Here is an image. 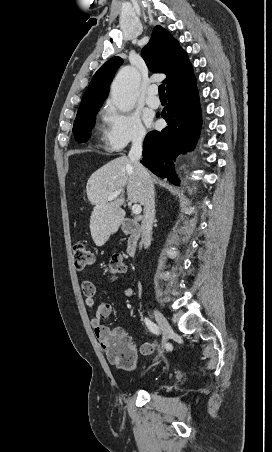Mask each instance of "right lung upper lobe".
I'll return each instance as SVG.
<instances>
[{
  "label": "right lung upper lobe",
  "instance_id": "1",
  "mask_svg": "<svg viewBox=\"0 0 272 452\" xmlns=\"http://www.w3.org/2000/svg\"><path fill=\"white\" fill-rule=\"evenodd\" d=\"M141 55L152 72L167 75L163 81L167 84V93L194 76L187 53L171 34L159 25L153 29L151 39ZM122 62L120 57H113L100 67L82 98L79 110L102 105L109 93L110 82Z\"/></svg>",
  "mask_w": 272,
  "mask_h": 452
}]
</instances>
